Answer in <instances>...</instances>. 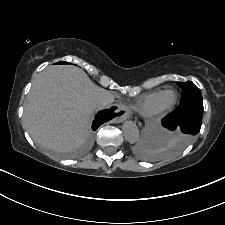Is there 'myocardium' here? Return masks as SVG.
I'll return each instance as SVG.
<instances>
[{
    "mask_svg": "<svg viewBox=\"0 0 225 225\" xmlns=\"http://www.w3.org/2000/svg\"><path fill=\"white\" fill-rule=\"evenodd\" d=\"M168 93H172L174 95V98L169 103H163L162 98ZM177 100H178V95H177L176 91H174L172 89L161 91L158 96L157 101L155 102L152 109L150 110V112L147 115L149 117H153V118L162 117L175 106V104L177 103Z\"/></svg>",
    "mask_w": 225,
    "mask_h": 225,
    "instance_id": "obj_1",
    "label": "myocardium"
}]
</instances>
